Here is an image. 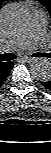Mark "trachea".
<instances>
[{"label":"trachea","mask_w":51,"mask_h":153,"mask_svg":"<svg viewBox=\"0 0 51 153\" xmlns=\"http://www.w3.org/2000/svg\"><path fill=\"white\" fill-rule=\"evenodd\" d=\"M16 59V55L14 53H5V54H0V60L1 61H11Z\"/></svg>","instance_id":"obj_1"}]
</instances>
